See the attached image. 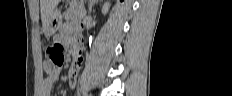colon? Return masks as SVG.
<instances>
[{
	"label": "colon",
	"instance_id": "colon-1",
	"mask_svg": "<svg viewBox=\"0 0 232 96\" xmlns=\"http://www.w3.org/2000/svg\"><path fill=\"white\" fill-rule=\"evenodd\" d=\"M47 50L50 58L48 71L50 74H57L64 65V49L61 45L53 44Z\"/></svg>",
	"mask_w": 232,
	"mask_h": 96
}]
</instances>
